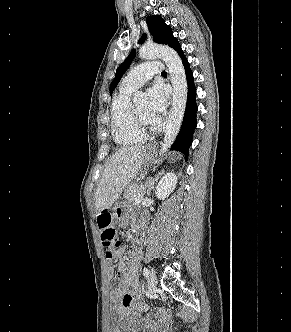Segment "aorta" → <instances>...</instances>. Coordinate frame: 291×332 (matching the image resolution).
<instances>
[{"mask_svg": "<svg viewBox=\"0 0 291 332\" xmlns=\"http://www.w3.org/2000/svg\"><path fill=\"white\" fill-rule=\"evenodd\" d=\"M142 59H162L169 70L173 86L172 108L169 113L168 123L160 152L164 154L173 144L183 121L187 102V80L182 61L175 50L168 46L158 44H145L139 49ZM143 92L134 94V101L144 100Z\"/></svg>", "mask_w": 291, "mask_h": 332, "instance_id": "aorta-1", "label": "aorta"}]
</instances>
